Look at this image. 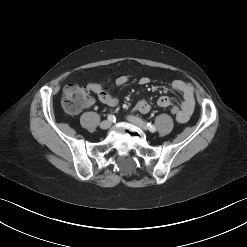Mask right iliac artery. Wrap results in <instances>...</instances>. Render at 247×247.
Wrapping results in <instances>:
<instances>
[{
  "instance_id": "obj_1",
  "label": "right iliac artery",
  "mask_w": 247,
  "mask_h": 247,
  "mask_svg": "<svg viewBox=\"0 0 247 247\" xmlns=\"http://www.w3.org/2000/svg\"><path fill=\"white\" fill-rule=\"evenodd\" d=\"M108 120L111 121V122H115L116 121V118L114 115H109L108 116Z\"/></svg>"
}]
</instances>
